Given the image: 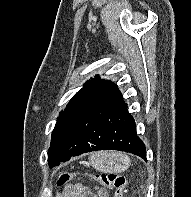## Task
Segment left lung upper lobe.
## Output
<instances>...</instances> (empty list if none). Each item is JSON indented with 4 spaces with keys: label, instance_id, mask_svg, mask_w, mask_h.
<instances>
[{
    "label": "left lung upper lobe",
    "instance_id": "obj_1",
    "mask_svg": "<svg viewBox=\"0 0 191 197\" xmlns=\"http://www.w3.org/2000/svg\"><path fill=\"white\" fill-rule=\"evenodd\" d=\"M96 77V79L91 78V80L87 81L86 85L69 101L65 110L60 112L48 150V163L50 167L58 165L61 161L70 156V153L73 151L72 146L67 141L66 126L74 117V113L79 105L89 98L102 96L116 86L113 82L98 79V75Z\"/></svg>",
    "mask_w": 191,
    "mask_h": 197
}]
</instances>
